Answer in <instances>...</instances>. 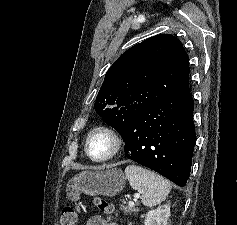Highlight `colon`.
<instances>
[{"mask_svg":"<svg viewBox=\"0 0 237 225\" xmlns=\"http://www.w3.org/2000/svg\"><path fill=\"white\" fill-rule=\"evenodd\" d=\"M95 205L98 209L105 214H115L114 206L108 201L100 198L95 199ZM78 221V215L74 208L66 206L61 213L60 223L61 225H76Z\"/></svg>","mask_w":237,"mask_h":225,"instance_id":"obj_1","label":"colon"}]
</instances>
